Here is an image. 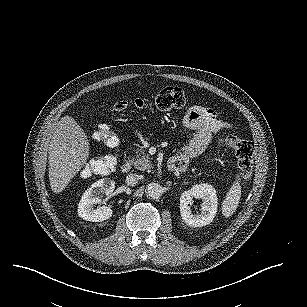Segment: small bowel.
Segmentation results:
<instances>
[{"mask_svg":"<svg viewBox=\"0 0 307 307\" xmlns=\"http://www.w3.org/2000/svg\"><path fill=\"white\" fill-rule=\"evenodd\" d=\"M183 125L193 132V137L172 158L182 166V170L185 169L189 159L200 155L211 146L215 134L230 128L215 110L197 105L186 111Z\"/></svg>","mask_w":307,"mask_h":307,"instance_id":"c3829d8e","label":"small bowel"}]
</instances>
